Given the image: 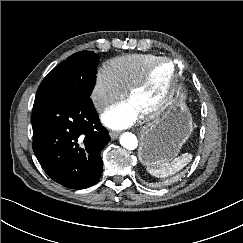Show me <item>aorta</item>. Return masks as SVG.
<instances>
[{"label":"aorta","mask_w":243,"mask_h":243,"mask_svg":"<svg viewBox=\"0 0 243 243\" xmlns=\"http://www.w3.org/2000/svg\"><path fill=\"white\" fill-rule=\"evenodd\" d=\"M120 144L128 150H134L137 148L138 140L134 134L126 132L121 135Z\"/></svg>","instance_id":"aorta-1"}]
</instances>
